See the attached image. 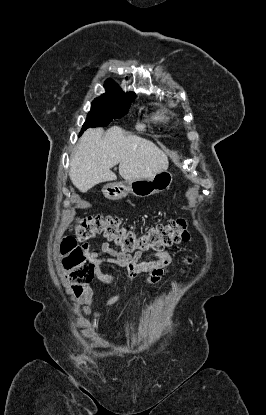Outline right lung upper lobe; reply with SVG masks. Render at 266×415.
Here are the masks:
<instances>
[{"label": "right lung upper lobe", "mask_w": 266, "mask_h": 415, "mask_svg": "<svg viewBox=\"0 0 266 415\" xmlns=\"http://www.w3.org/2000/svg\"><path fill=\"white\" fill-rule=\"evenodd\" d=\"M104 87H105L106 93L96 99L112 98V97H118V96L135 97V94L132 92L124 93L121 90V88L112 79H107L105 81Z\"/></svg>", "instance_id": "right-lung-upper-lobe-1"}]
</instances>
